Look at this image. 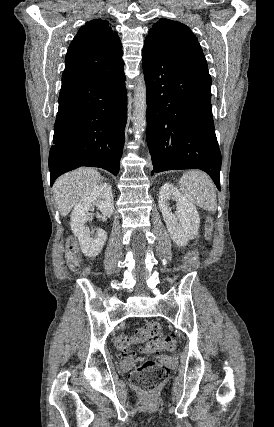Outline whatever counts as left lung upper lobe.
I'll return each instance as SVG.
<instances>
[{"label": "left lung upper lobe", "instance_id": "1", "mask_svg": "<svg viewBox=\"0 0 274 427\" xmlns=\"http://www.w3.org/2000/svg\"><path fill=\"white\" fill-rule=\"evenodd\" d=\"M145 41L158 46L179 62L208 71L197 37L182 23L160 19L149 29Z\"/></svg>", "mask_w": 274, "mask_h": 427}]
</instances>
